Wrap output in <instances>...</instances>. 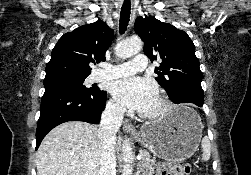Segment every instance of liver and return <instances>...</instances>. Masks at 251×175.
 Returning a JSON list of instances; mask_svg holds the SVG:
<instances>
[{
    "instance_id": "liver-1",
    "label": "liver",
    "mask_w": 251,
    "mask_h": 175,
    "mask_svg": "<svg viewBox=\"0 0 251 175\" xmlns=\"http://www.w3.org/2000/svg\"><path fill=\"white\" fill-rule=\"evenodd\" d=\"M97 131L86 121H66L51 129L36 153L37 175H99L103 147Z\"/></svg>"
}]
</instances>
